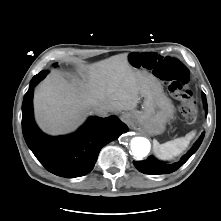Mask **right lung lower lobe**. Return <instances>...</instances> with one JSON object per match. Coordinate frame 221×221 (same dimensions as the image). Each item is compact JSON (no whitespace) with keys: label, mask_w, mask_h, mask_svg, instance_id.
<instances>
[{"label":"right lung lower lobe","mask_w":221,"mask_h":221,"mask_svg":"<svg viewBox=\"0 0 221 221\" xmlns=\"http://www.w3.org/2000/svg\"><path fill=\"white\" fill-rule=\"evenodd\" d=\"M48 71L35 75L22 104V131L28 147L40 163L51 173L67 178L89 173L103 146L128 131L117 117H91L74 134L50 137L42 133L33 119V88Z\"/></svg>","instance_id":"98d812e1"}]
</instances>
